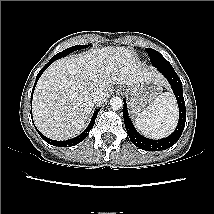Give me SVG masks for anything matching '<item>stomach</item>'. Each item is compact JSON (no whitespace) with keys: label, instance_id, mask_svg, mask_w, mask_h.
<instances>
[{"label":"stomach","instance_id":"obj_1","mask_svg":"<svg viewBox=\"0 0 214 214\" xmlns=\"http://www.w3.org/2000/svg\"><path fill=\"white\" fill-rule=\"evenodd\" d=\"M163 83L156 79L146 80L134 86L125 88L129 98V107L133 115L147 109L154 100L162 93Z\"/></svg>","mask_w":214,"mask_h":214}]
</instances>
